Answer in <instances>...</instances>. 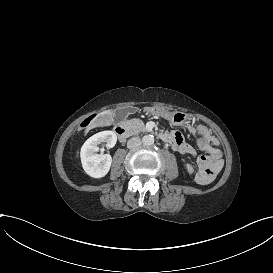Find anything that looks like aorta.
<instances>
[{
  "mask_svg": "<svg viewBox=\"0 0 273 273\" xmlns=\"http://www.w3.org/2000/svg\"><path fill=\"white\" fill-rule=\"evenodd\" d=\"M142 143L146 146L154 144V137L152 135H145L142 138Z\"/></svg>",
  "mask_w": 273,
  "mask_h": 273,
  "instance_id": "aorta-1",
  "label": "aorta"
}]
</instances>
